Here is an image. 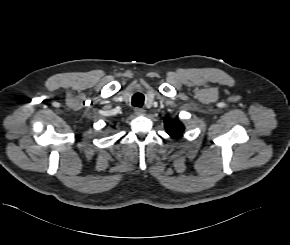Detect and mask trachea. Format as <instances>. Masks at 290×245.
<instances>
[{
    "instance_id": "3493384b",
    "label": "trachea",
    "mask_w": 290,
    "mask_h": 245,
    "mask_svg": "<svg viewBox=\"0 0 290 245\" xmlns=\"http://www.w3.org/2000/svg\"><path fill=\"white\" fill-rule=\"evenodd\" d=\"M144 103V95L141 93H136L132 97V105L135 107H142Z\"/></svg>"
}]
</instances>
